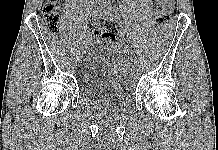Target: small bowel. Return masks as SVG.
I'll list each match as a JSON object with an SVG mask.
<instances>
[{
	"instance_id": "small-bowel-1",
	"label": "small bowel",
	"mask_w": 218,
	"mask_h": 150,
	"mask_svg": "<svg viewBox=\"0 0 218 150\" xmlns=\"http://www.w3.org/2000/svg\"><path fill=\"white\" fill-rule=\"evenodd\" d=\"M157 2L165 7H167L170 11L174 8L173 0H157Z\"/></svg>"
}]
</instances>
